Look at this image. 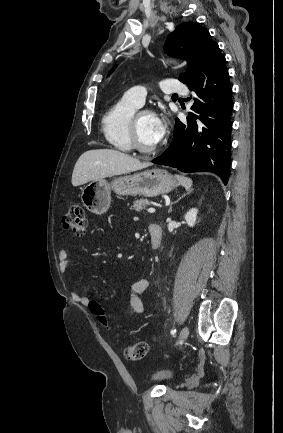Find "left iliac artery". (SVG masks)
<instances>
[{"label": "left iliac artery", "mask_w": 283, "mask_h": 433, "mask_svg": "<svg viewBox=\"0 0 283 433\" xmlns=\"http://www.w3.org/2000/svg\"><path fill=\"white\" fill-rule=\"evenodd\" d=\"M176 333V329L171 330V334L174 335Z\"/></svg>", "instance_id": "left-iliac-artery-1"}]
</instances>
